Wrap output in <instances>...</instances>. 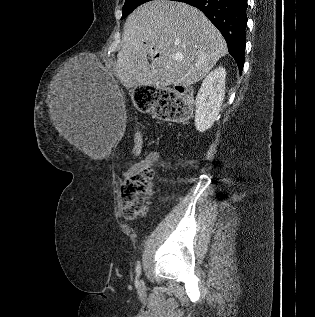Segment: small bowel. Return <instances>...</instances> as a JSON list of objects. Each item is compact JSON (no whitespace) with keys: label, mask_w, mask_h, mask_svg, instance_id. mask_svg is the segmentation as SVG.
Instances as JSON below:
<instances>
[{"label":"small bowel","mask_w":315,"mask_h":317,"mask_svg":"<svg viewBox=\"0 0 315 317\" xmlns=\"http://www.w3.org/2000/svg\"><path fill=\"white\" fill-rule=\"evenodd\" d=\"M160 159V154L157 151L149 152L142 160L134 163L129 168L125 169L122 172V176L124 179L129 178L131 175L137 173L138 171L146 168H150L151 166L157 164Z\"/></svg>","instance_id":"1"}]
</instances>
